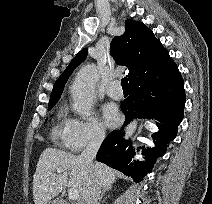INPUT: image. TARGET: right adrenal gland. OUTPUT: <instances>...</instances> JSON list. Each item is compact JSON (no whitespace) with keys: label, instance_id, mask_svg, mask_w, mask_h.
I'll return each instance as SVG.
<instances>
[{"label":"right adrenal gland","instance_id":"right-adrenal-gland-1","mask_svg":"<svg viewBox=\"0 0 212 204\" xmlns=\"http://www.w3.org/2000/svg\"><path fill=\"white\" fill-rule=\"evenodd\" d=\"M107 191V189H103L102 192H101V195L99 196V201H98V204H101V201L103 199V196L105 195V192Z\"/></svg>","mask_w":212,"mask_h":204}]
</instances>
